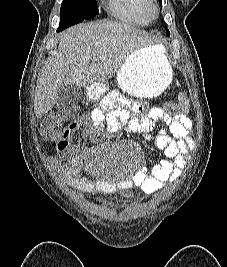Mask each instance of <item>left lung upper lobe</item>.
Wrapping results in <instances>:
<instances>
[{"instance_id":"left-lung-upper-lobe-1","label":"left lung upper lobe","mask_w":227,"mask_h":267,"mask_svg":"<svg viewBox=\"0 0 227 267\" xmlns=\"http://www.w3.org/2000/svg\"><path fill=\"white\" fill-rule=\"evenodd\" d=\"M160 1V3L162 4V0H159ZM167 32V31H166Z\"/></svg>"}]
</instances>
